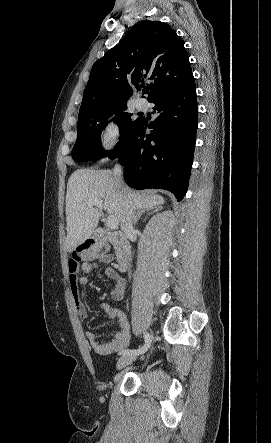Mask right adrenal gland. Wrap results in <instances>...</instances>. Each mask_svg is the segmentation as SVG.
<instances>
[{
  "label": "right adrenal gland",
  "mask_w": 271,
  "mask_h": 443,
  "mask_svg": "<svg viewBox=\"0 0 271 443\" xmlns=\"http://www.w3.org/2000/svg\"><path fill=\"white\" fill-rule=\"evenodd\" d=\"M154 212H158V210H153V208L152 210H149V208H139L133 220V225H137L139 218H142L143 214H148V216H150V214H154Z\"/></svg>",
  "instance_id": "2a0ac1e0"
}]
</instances>
